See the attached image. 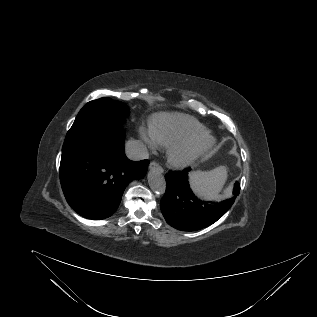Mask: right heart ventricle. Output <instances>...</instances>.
Listing matches in <instances>:
<instances>
[{
	"mask_svg": "<svg viewBox=\"0 0 317 317\" xmlns=\"http://www.w3.org/2000/svg\"><path fill=\"white\" fill-rule=\"evenodd\" d=\"M149 127L159 146L171 147L177 142L206 132L197 119L179 113H157L150 118Z\"/></svg>",
	"mask_w": 317,
	"mask_h": 317,
	"instance_id": "e07e8e85",
	"label": "right heart ventricle"
}]
</instances>
